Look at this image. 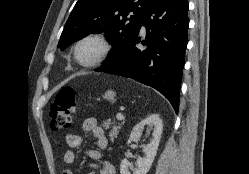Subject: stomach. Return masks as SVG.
I'll return each instance as SVG.
<instances>
[{
  "label": "stomach",
  "mask_w": 249,
  "mask_h": 174,
  "mask_svg": "<svg viewBox=\"0 0 249 174\" xmlns=\"http://www.w3.org/2000/svg\"><path fill=\"white\" fill-rule=\"evenodd\" d=\"M114 97H115V92L112 90H108L104 95V98L108 100H113Z\"/></svg>",
  "instance_id": "obj_1"
}]
</instances>
